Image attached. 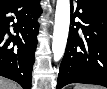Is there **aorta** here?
Here are the masks:
<instances>
[{"instance_id": "762f6f07", "label": "aorta", "mask_w": 107, "mask_h": 89, "mask_svg": "<svg viewBox=\"0 0 107 89\" xmlns=\"http://www.w3.org/2000/svg\"><path fill=\"white\" fill-rule=\"evenodd\" d=\"M70 26V1L57 0L52 52L54 61H59L65 52Z\"/></svg>"}]
</instances>
